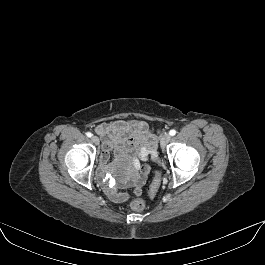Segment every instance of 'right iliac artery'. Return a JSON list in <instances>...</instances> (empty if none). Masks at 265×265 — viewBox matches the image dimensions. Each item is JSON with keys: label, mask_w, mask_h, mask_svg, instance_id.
<instances>
[{"label": "right iliac artery", "mask_w": 265, "mask_h": 265, "mask_svg": "<svg viewBox=\"0 0 265 265\" xmlns=\"http://www.w3.org/2000/svg\"><path fill=\"white\" fill-rule=\"evenodd\" d=\"M86 135H87V137H92V133L91 132H87Z\"/></svg>", "instance_id": "82829eb1"}]
</instances>
